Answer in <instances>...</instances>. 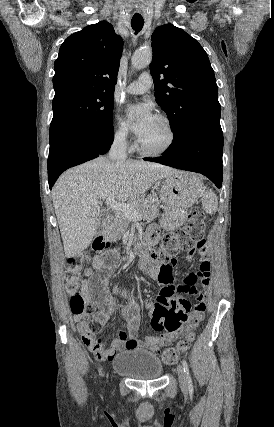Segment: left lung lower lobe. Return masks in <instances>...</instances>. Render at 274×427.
Here are the masks:
<instances>
[{"instance_id": "left-lung-lower-lobe-1", "label": "left lung lower lobe", "mask_w": 274, "mask_h": 427, "mask_svg": "<svg viewBox=\"0 0 274 427\" xmlns=\"http://www.w3.org/2000/svg\"><path fill=\"white\" fill-rule=\"evenodd\" d=\"M223 133L221 126L204 125L195 129L187 139L170 147L162 157L144 158L178 169L198 172L222 185Z\"/></svg>"}]
</instances>
